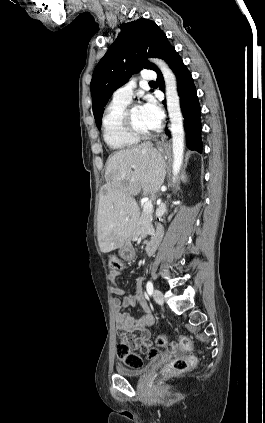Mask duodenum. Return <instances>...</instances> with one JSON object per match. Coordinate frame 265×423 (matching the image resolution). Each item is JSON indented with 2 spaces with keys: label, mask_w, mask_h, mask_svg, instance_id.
<instances>
[{
  "label": "duodenum",
  "mask_w": 265,
  "mask_h": 423,
  "mask_svg": "<svg viewBox=\"0 0 265 423\" xmlns=\"http://www.w3.org/2000/svg\"><path fill=\"white\" fill-rule=\"evenodd\" d=\"M161 235H162V230L160 228H157L154 233V236L147 242L145 246L146 255L151 256L155 253L158 247Z\"/></svg>",
  "instance_id": "duodenum-1"
}]
</instances>
